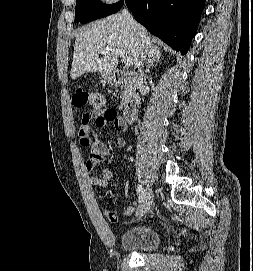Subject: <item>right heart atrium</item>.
<instances>
[{
    "label": "right heart atrium",
    "instance_id": "d8ad5b80",
    "mask_svg": "<svg viewBox=\"0 0 253 271\" xmlns=\"http://www.w3.org/2000/svg\"><path fill=\"white\" fill-rule=\"evenodd\" d=\"M103 1L106 3H113V2H116L117 0H103Z\"/></svg>",
    "mask_w": 253,
    "mask_h": 271
}]
</instances>
